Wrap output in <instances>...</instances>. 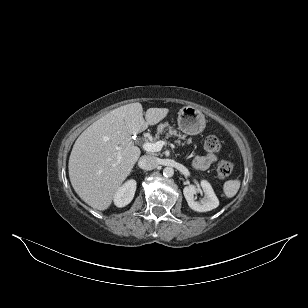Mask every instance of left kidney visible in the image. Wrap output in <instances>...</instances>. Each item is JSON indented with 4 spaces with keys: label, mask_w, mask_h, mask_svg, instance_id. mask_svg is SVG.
<instances>
[{
    "label": "left kidney",
    "mask_w": 308,
    "mask_h": 308,
    "mask_svg": "<svg viewBox=\"0 0 308 308\" xmlns=\"http://www.w3.org/2000/svg\"><path fill=\"white\" fill-rule=\"evenodd\" d=\"M201 188L205 193V196L200 201H196L194 195L198 192L199 188L195 185L184 187L183 194L189 207L197 212H207L217 208L219 205V200L210 183L206 180H202Z\"/></svg>",
    "instance_id": "left-kidney-1"
}]
</instances>
